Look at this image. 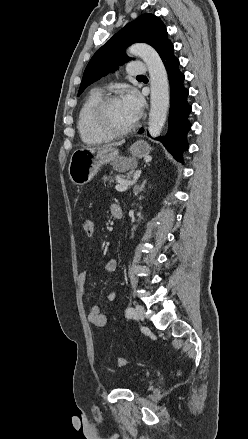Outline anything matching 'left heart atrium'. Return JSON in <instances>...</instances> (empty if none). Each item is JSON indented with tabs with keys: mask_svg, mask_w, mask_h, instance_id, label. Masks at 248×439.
<instances>
[{
	"mask_svg": "<svg viewBox=\"0 0 248 439\" xmlns=\"http://www.w3.org/2000/svg\"><path fill=\"white\" fill-rule=\"evenodd\" d=\"M135 121L140 117L143 110V99L133 90H129L121 99Z\"/></svg>",
	"mask_w": 248,
	"mask_h": 439,
	"instance_id": "obj_1",
	"label": "left heart atrium"
}]
</instances>
